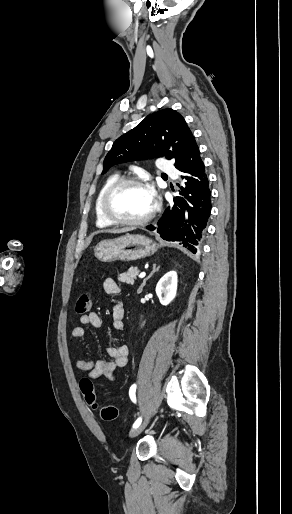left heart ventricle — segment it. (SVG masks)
Segmentation results:
<instances>
[{
  "mask_svg": "<svg viewBox=\"0 0 292 514\" xmlns=\"http://www.w3.org/2000/svg\"><path fill=\"white\" fill-rule=\"evenodd\" d=\"M152 203L145 188L125 186L114 191L108 200L109 210L117 217L126 220L145 216Z\"/></svg>",
  "mask_w": 292,
  "mask_h": 514,
  "instance_id": "1",
  "label": "left heart ventricle"
}]
</instances>
